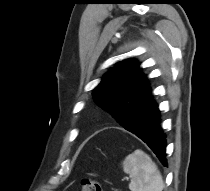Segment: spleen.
Masks as SVG:
<instances>
[{"instance_id": "3e777b00", "label": "spleen", "mask_w": 210, "mask_h": 191, "mask_svg": "<svg viewBox=\"0 0 210 191\" xmlns=\"http://www.w3.org/2000/svg\"><path fill=\"white\" fill-rule=\"evenodd\" d=\"M123 170L131 177V191H162L164 182L156 164L142 150H135L123 161Z\"/></svg>"}]
</instances>
